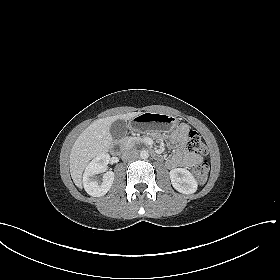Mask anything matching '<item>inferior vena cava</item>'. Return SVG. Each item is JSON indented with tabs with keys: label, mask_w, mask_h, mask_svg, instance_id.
Instances as JSON below:
<instances>
[{
	"label": "inferior vena cava",
	"mask_w": 280,
	"mask_h": 280,
	"mask_svg": "<svg viewBox=\"0 0 280 280\" xmlns=\"http://www.w3.org/2000/svg\"><path fill=\"white\" fill-rule=\"evenodd\" d=\"M138 158V151L134 149L126 150L122 154L123 161H134Z\"/></svg>",
	"instance_id": "inferior-vena-cava-1"
}]
</instances>
